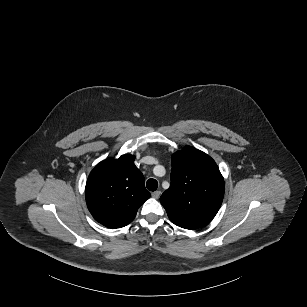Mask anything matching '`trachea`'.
<instances>
[{
  "label": "trachea",
  "mask_w": 307,
  "mask_h": 307,
  "mask_svg": "<svg viewBox=\"0 0 307 307\" xmlns=\"http://www.w3.org/2000/svg\"><path fill=\"white\" fill-rule=\"evenodd\" d=\"M146 186L150 191H155L158 187V182L157 180L150 178L148 179V181L146 182Z\"/></svg>",
  "instance_id": "trachea-1"
}]
</instances>
